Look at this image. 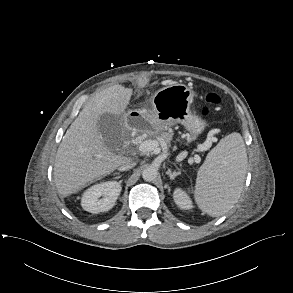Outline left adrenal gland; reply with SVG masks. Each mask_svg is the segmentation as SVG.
Segmentation results:
<instances>
[{
    "mask_svg": "<svg viewBox=\"0 0 293 293\" xmlns=\"http://www.w3.org/2000/svg\"><path fill=\"white\" fill-rule=\"evenodd\" d=\"M180 171L179 172H172L170 169L166 172L167 175H169L170 180H174L176 176L180 175Z\"/></svg>",
    "mask_w": 293,
    "mask_h": 293,
    "instance_id": "a2214340",
    "label": "left adrenal gland"
}]
</instances>
